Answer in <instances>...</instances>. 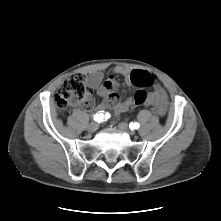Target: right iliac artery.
I'll return each instance as SVG.
<instances>
[{
	"label": "right iliac artery",
	"instance_id": "82829eb1",
	"mask_svg": "<svg viewBox=\"0 0 221 221\" xmlns=\"http://www.w3.org/2000/svg\"><path fill=\"white\" fill-rule=\"evenodd\" d=\"M94 120L97 121L98 123H100L101 121H103V113H96L94 115Z\"/></svg>",
	"mask_w": 221,
	"mask_h": 221
}]
</instances>
